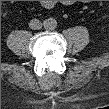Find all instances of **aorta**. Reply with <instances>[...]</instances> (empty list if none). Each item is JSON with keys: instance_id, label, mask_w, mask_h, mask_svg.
Wrapping results in <instances>:
<instances>
[{"instance_id": "1", "label": "aorta", "mask_w": 109, "mask_h": 109, "mask_svg": "<svg viewBox=\"0 0 109 109\" xmlns=\"http://www.w3.org/2000/svg\"><path fill=\"white\" fill-rule=\"evenodd\" d=\"M44 27L48 30H53L57 27V21L53 18L46 19L44 21Z\"/></svg>"}]
</instances>
